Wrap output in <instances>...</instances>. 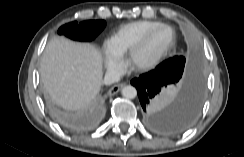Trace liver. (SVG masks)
Returning <instances> with one entry per match:
<instances>
[{"label":"liver","instance_id":"liver-1","mask_svg":"<svg viewBox=\"0 0 244 157\" xmlns=\"http://www.w3.org/2000/svg\"><path fill=\"white\" fill-rule=\"evenodd\" d=\"M40 76L54 103L67 110L80 109L100 92L101 52L90 43L53 38L41 57Z\"/></svg>","mask_w":244,"mask_h":157}]
</instances>
